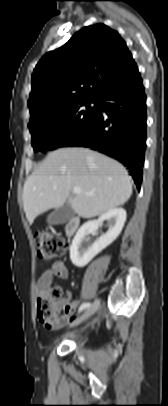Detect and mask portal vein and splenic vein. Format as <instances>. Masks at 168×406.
<instances>
[{
    "mask_svg": "<svg viewBox=\"0 0 168 406\" xmlns=\"http://www.w3.org/2000/svg\"><path fill=\"white\" fill-rule=\"evenodd\" d=\"M72 191H73V193H75V194H80V193H82V190H81L80 187H73ZM86 195L92 196L93 194H92V193H86Z\"/></svg>",
    "mask_w": 168,
    "mask_h": 406,
    "instance_id": "18ae733b",
    "label": "portal vein and splenic vein"
}]
</instances>
